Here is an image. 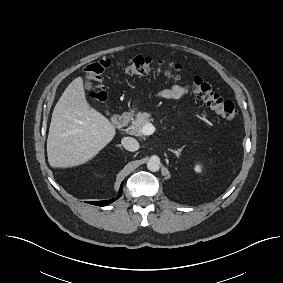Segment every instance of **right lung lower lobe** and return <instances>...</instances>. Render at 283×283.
<instances>
[{"label": "right lung lower lobe", "instance_id": "1", "mask_svg": "<svg viewBox=\"0 0 283 283\" xmlns=\"http://www.w3.org/2000/svg\"><path fill=\"white\" fill-rule=\"evenodd\" d=\"M122 187H123V184H121V187H120V190H119V196L117 198H113V199L105 200V201H92V202H88V203L98 205V206H106V205L112 203L113 201H115L116 199H118L121 196Z\"/></svg>", "mask_w": 283, "mask_h": 283}]
</instances>
